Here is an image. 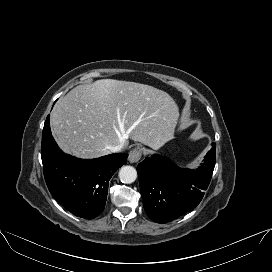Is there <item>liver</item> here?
Wrapping results in <instances>:
<instances>
[{"label":"liver","instance_id":"1","mask_svg":"<svg viewBox=\"0 0 272 272\" xmlns=\"http://www.w3.org/2000/svg\"><path fill=\"white\" fill-rule=\"evenodd\" d=\"M179 109L165 91L114 79L78 85L55 106L51 130L59 147L78 158L110 154L129 138L158 149L174 138Z\"/></svg>","mask_w":272,"mask_h":272}]
</instances>
